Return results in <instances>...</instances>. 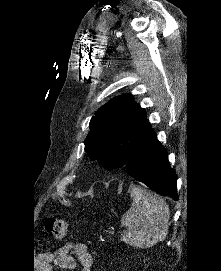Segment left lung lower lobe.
<instances>
[{
    "label": "left lung lower lobe",
    "instance_id": "obj_1",
    "mask_svg": "<svg viewBox=\"0 0 221 271\" xmlns=\"http://www.w3.org/2000/svg\"><path fill=\"white\" fill-rule=\"evenodd\" d=\"M125 167L131 177L151 190L178 200L175 170L170 167L167 151L154 131L130 154Z\"/></svg>",
    "mask_w": 221,
    "mask_h": 271
}]
</instances>
